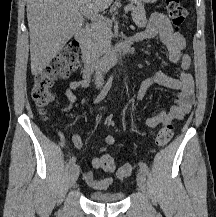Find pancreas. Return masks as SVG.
<instances>
[{
	"instance_id": "cf45deb5",
	"label": "pancreas",
	"mask_w": 216,
	"mask_h": 217,
	"mask_svg": "<svg viewBox=\"0 0 216 217\" xmlns=\"http://www.w3.org/2000/svg\"><path fill=\"white\" fill-rule=\"evenodd\" d=\"M132 7V18L138 27L147 24L144 6L138 0H130ZM135 4V5H134ZM112 21L107 18L94 21L87 29L88 42L93 51L103 54L110 48Z\"/></svg>"
}]
</instances>
